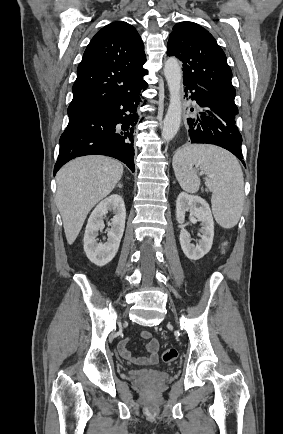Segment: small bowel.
<instances>
[{"instance_id":"1","label":"small bowel","mask_w":283,"mask_h":434,"mask_svg":"<svg viewBox=\"0 0 283 434\" xmlns=\"http://www.w3.org/2000/svg\"><path fill=\"white\" fill-rule=\"evenodd\" d=\"M140 336L148 340L145 347L147 350V355L142 357H134L132 353L127 349V344L129 339H124L119 343L118 350L120 355L135 364L138 365H153L158 362V350H159V342L156 338L153 337L152 333L148 330H144L140 333Z\"/></svg>"}]
</instances>
